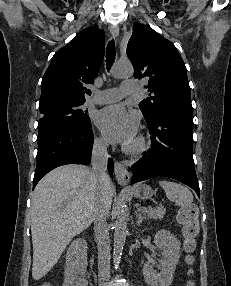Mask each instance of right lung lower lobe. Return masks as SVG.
<instances>
[{
    "label": "right lung lower lobe",
    "instance_id": "obj_1",
    "mask_svg": "<svg viewBox=\"0 0 231 286\" xmlns=\"http://www.w3.org/2000/svg\"><path fill=\"white\" fill-rule=\"evenodd\" d=\"M37 166L33 188L52 169L65 164H88L91 159L93 132L88 125H62L38 134ZM113 161L108 170L113 173Z\"/></svg>",
    "mask_w": 231,
    "mask_h": 286
}]
</instances>
